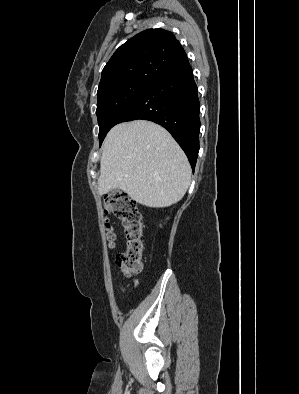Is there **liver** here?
Masks as SVG:
<instances>
[{
    "label": "liver",
    "mask_w": 299,
    "mask_h": 394,
    "mask_svg": "<svg viewBox=\"0 0 299 394\" xmlns=\"http://www.w3.org/2000/svg\"><path fill=\"white\" fill-rule=\"evenodd\" d=\"M191 181L189 161L163 127L146 120L115 125L107 134L98 191L121 189L147 207H168L185 195Z\"/></svg>",
    "instance_id": "1"
}]
</instances>
